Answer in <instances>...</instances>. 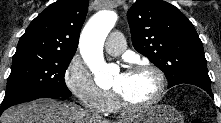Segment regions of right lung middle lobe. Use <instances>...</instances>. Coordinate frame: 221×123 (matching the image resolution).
<instances>
[{
  "mask_svg": "<svg viewBox=\"0 0 221 123\" xmlns=\"http://www.w3.org/2000/svg\"><path fill=\"white\" fill-rule=\"evenodd\" d=\"M74 54L31 49L16 51L1 108L50 93L70 97L72 94L65 85L64 74Z\"/></svg>",
  "mask_w": 221,
  "mask_h": 123,
  "instance_id": "dd1d6c3e",
  "label": "right lung middle lobe"
}]
</instances>
